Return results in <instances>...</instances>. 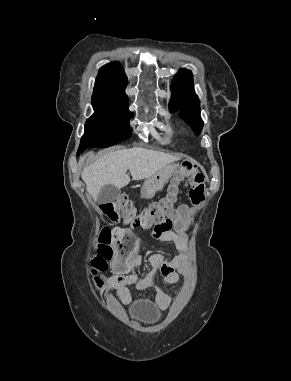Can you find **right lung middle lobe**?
<instances>
[{"label": "right lung middle lobe", "mask_w": 291, "mask_h": 381, "mask_svg": "<svg viewBox=\"0 0 291 381\" xmlns=\"http://www.w3.org/2000/svg\"><path fill=\"white\" fill-rule=\"evenodd\" d=\"M95 113L86 121L79 148L113 146L131 136L127 104L92 98Z\"/></svg>", "instance_id": "obj_1"}]
</instances>
